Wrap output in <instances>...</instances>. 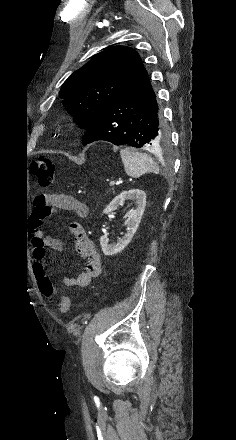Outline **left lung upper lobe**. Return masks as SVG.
Returning a JSON list of instances; mask_svg holds the SVG:
<instances>
[{
    "label": "left lung upper lobe",
    "instance_id": "5c2ea615",
    "mask_svg": "<svg viewBox=\"0 0 236 440\" xmlns=\"http://www.w3.org/2000/svg\"><path fill=\"white\" fill-rule=\"evenodd\" d=\"M146 73L139 54L114 46L96 54L64 82L59 97L76 123L87 130L105 108Z\"/></svg>",
    "mask_w": 236,
    "mask_h": 440
}]
</instances>
